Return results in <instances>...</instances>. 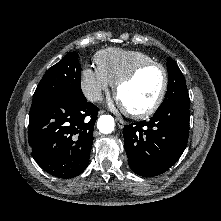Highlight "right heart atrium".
Instances as JSON below:
<instances>
[{"instance_id": "1", "label": "right heart atrium", "mask_w": 221, "mask_h": 221, "mask_svg": "<svg viewBox=\"0 0 221 221\" xmlns=\"http://www.w3.org/2000/svg\"><path fill=\"white\" fill-rule=\"evenodd\" d=\"M110 85L96 68L85 67L83 69L80 77V89L87 100H97Z\"/></svg>"}]
</instances>
